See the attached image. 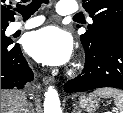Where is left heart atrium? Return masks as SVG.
<instances>
[{
  "mask_svg": "<svg viewBox=\"0 0 123 113\" xmlns=\"http://www.w3.org/2000/svg\"><path fill=\"white\" fill-rule=\"evenodd\" d=\"M25 48L36 61L57 66L70 59L73 41L65 31L56 26H48L30 33L26 38Z\"/></svg>",
  "mask_w": 123,
  "mask_h": 113,
  "instance_id": "obj_1",
  "label": "left heart atrium"
}]
</instances>
